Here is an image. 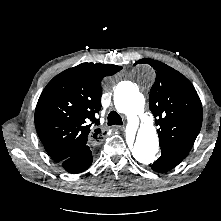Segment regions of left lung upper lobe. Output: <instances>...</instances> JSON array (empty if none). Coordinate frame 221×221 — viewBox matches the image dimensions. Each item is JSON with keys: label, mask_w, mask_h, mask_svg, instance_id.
<instances>
[{"label": "left lung upper lobe", "mask_w": 221, "mask_h": 221, "mask_svg": "<svg viewBox=\"0 0 221 221\" xmlns=\"http://www.w3.org/2000/svg\"><path fill=\"white\" fill-rule=\"evenodd\" d=\"M156 70L149 107L155 117L161 148L189 153L202 125V104L192 83L166 64L144 58ZM136 64V63H135Z\"/></svg>", "instance_id": "obj_1"}]
</instances>
